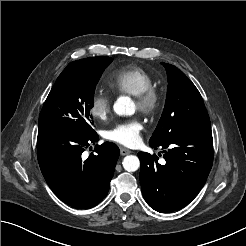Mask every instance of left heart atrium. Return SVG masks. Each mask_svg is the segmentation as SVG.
Instances as JSON below:
<instances>
[{
	"mask_svg": "<svg viewBox=\"0 0 246 246\" xmlns=\"http://www.w3.org/2000/svg\"><path fill=\"white\" fill-rule=\"evenodd\" d=\"M142 124L137 119L124 121L105 132L107 140L123 146H136L141 140Z\"/></svg>",
	"mask_w": 246,
	"mask_h": 246,
	"instance_id": "39dd6f15",
	"label": "left heart atrium"
}]
</instances>
